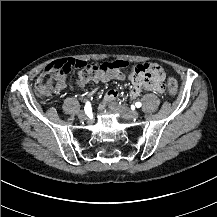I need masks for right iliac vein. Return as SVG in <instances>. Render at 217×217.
I'll return each instance as SVG.
<instances>
[{
    "label": "right iliac vein",
    "mask_w": 217,
    "mask_h": 217,
    "mask_svg": "<svg viewBox=\"0 0 217 217\" xmlns=\"http://www.w3.org/2000/svg\"><path fill=\"white\" fill-rule=\"evenodd\" d=\"M78 118L82 121L88 119L87 115L82 111L78 114Z\"/></svg>",
    "instance_id": "right-iliac-vein-1"
}]
</instances>
